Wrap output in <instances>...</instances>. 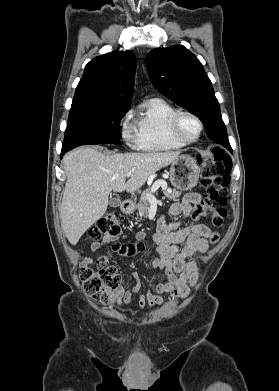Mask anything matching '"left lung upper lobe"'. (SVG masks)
<instances>
[{
	"instance_id": "1",
	"label": "left lung upper lobe",
	"mask_w": 279,
	"mask_h": 391,
	"mask_svg": "<svg viewBox=\"0 0 279 391\" xmlns=\"http://www.w3.org/2000/svg\"><path fill=\"white\" fill-rule=\"evenodd\" d=\"M146 67L160 93L196 115L209 139L231 149L212 83L194 54L181 45L157 48L147 54Z\"/></svg>"
}]
</instances>
